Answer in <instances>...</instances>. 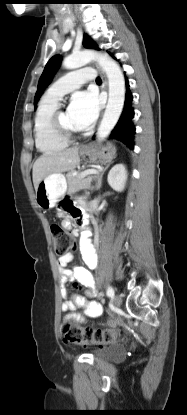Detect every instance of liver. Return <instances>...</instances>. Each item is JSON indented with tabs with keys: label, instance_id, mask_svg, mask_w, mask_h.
<instances>
[{
	"label": "liver",
	"instance_id": "obj_1",
	"mask_svg": "<svg viewBox=\"0 0 187 415\" xmlns=\"http://www.w3.org/2000/svg\"><path fill=\"white\" fill-rule=\"evenodd\" d=\"M78 153L79 149L73 147L41 155L33 165L32 177L35 190H37L39 183L46 176L73 170L80 162Z\"/></svg>",
	"mask_w": 187,
	"mask_h": 415
}]
</instances>
